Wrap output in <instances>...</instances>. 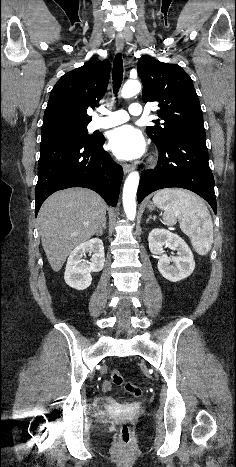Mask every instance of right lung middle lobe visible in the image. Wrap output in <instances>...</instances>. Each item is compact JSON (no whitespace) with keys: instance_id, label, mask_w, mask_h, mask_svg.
Instances as JSON below:
<instances>
[{"instance_id":"1","label":"right lung middle lobe","mask_w":236,"mask_h":467,"mask_svg":"<svg viewBox=\"0 0 236 467\" xmlns=\"http://www.w3.org/2000/svg\"><path fill=\"white\" fill-rule=\"evenodd\" d=\"M41 136L40 145L67 139H75L84 142H91L97 139V137L88 134L87 126H68L42 130Z\"/></svg>"}]
</instances>
